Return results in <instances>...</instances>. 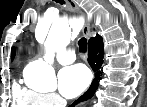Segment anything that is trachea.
I'll return each instance as SVG.
<instances>
[{"mask_svg":"<svg viewBox=\"0 0 147 107\" xmlns=\"http://www.w3.org/2000/svg\"><path fill=\"white\" fill-rule=\"evenodd\" d=\"M57 3H60V4H65V2L63 0H56ZM78 45H79V49L80 51H86L87 50V40L86 38H81L79 41H78Z\"/></svg>","mask_w":147,"mask_h":107,"instance_id":"3493384b","label":"trachea"}]
</instances>
